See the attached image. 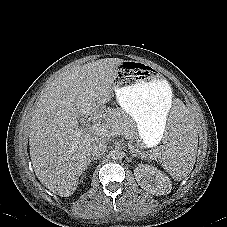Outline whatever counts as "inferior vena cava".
Here are the masks:
<instances>
[{
	"mask_svg": "<svg viewBox=\"0 0 227 227\" xmlns=\"http://www.w3.org/2000/svg\"><path fill=\"white\" fill-rule=\"evenodd\" d=\"M90 153L94 157H100L107 150V143L105 140L99 138L95 140L89 148Z\"/></svg>",
	"mask_w": 227,
	"mask_h": 227,
	"instance_id": "602c4592",
	"label": "inferior vena cava"
}]
</instances>
